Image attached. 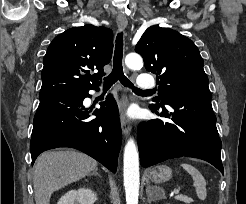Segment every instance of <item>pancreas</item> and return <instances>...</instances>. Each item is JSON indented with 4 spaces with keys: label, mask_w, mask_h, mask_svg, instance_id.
I'll use <instances>...</instances> for the list:
<instances>
[{
    "label": "pancreas",
    "mask_w": 246,
    "mask_h": 204,
    "mask_svg": "<svg viewBox=\"0 0 246 204\" xmlns=\"http://www.w3.org/2000/svg\"><path fill=\"white\" fill-rule=\"evenodd\" d=\"M177 200L183 201L185 203H190L191 202V198L184 196V195H178L176 197Z\"/></svg>",
    "instance_id": "1"
}]
</instances>
